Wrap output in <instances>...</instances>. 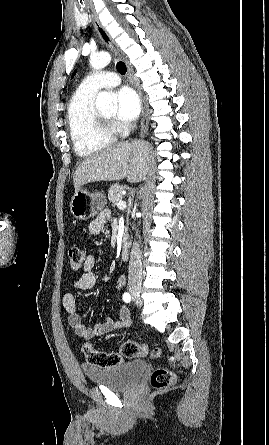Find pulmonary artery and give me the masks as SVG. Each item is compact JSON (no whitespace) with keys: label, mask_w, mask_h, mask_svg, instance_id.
<instances>
[{"label":"pulmonary artery","mask_w":269,"mask_h":445,"mask_svg":"<svg viewBox=\"0 0 269 445\" xmlns=\"http://www.w3.org/2000/svg\"><path fill=\"white\" fill-rule=\"evenodd\" d=\"M120 84L119 76L114 72H96L86 76L81 82L83 89L97 92L101 88L115 87Z\"/></svg>","instance_id":"obj_1"}]
</instances>
